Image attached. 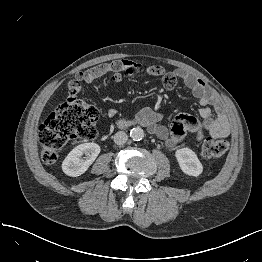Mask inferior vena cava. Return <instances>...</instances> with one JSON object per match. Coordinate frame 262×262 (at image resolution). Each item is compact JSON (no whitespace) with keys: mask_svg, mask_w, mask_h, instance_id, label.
<instances>
[{"mask_svg":"<svg viewBox=\"0 0 262 262\" xmlns=\"http://www.w3.org/2000/svg\"><path fill=\"white\" fill-rule=\"evenodd\" d=\"M127 139L128 135L123 131H119L114 135V142L117 145H123L124 143H126Z\"/></svg>","mask_w":262,"mask_h":262,"instance_id":"inferior-vena-cava-1","label":"inferior vena cava"}]
</instances>
